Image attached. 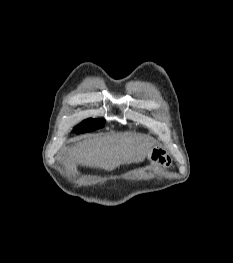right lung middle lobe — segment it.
Wrapping results in <instances>:
<instances>
[{
    "label": "right lung middle lobe",
    "instance_id": "obj_1",
    "mask_svg": "<svg viewBox=\"0 0 233 263\" xmlns=\"http://www.w3.org/2000/svg\"><path fill=\"white\" fill-rule=\"evenodd\" d=\"M104 126V121L99 119H87L74 128L75 133L80 134L84 132L93 131Z\"/></svg>",
    "mask_w": 233,
    "mask_h": 263
}]
</instances>
